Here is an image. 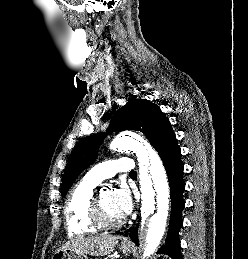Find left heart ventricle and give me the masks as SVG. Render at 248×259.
<instances>
[{
    "label": "left heart ventricle",
    "mask_w": 248,
    "mask_h": 259,
    "mask_svg": "<svg viewBox=\"0 0 248 259\" xmlns=\"http://www.w3.org/2000/svg\"><path fill=\"white\" fill-rule=\"evenodd\" d=\"M112 195H113L112 191L104 190V191L100 192L99 198H100V202H101L105 217L108 220L116 221V220L121 219L122 216L117 211V209L114 205Z\"/></svg>",
    "instance_id": "left-heart-ventricle-1"
}]
</instances>
